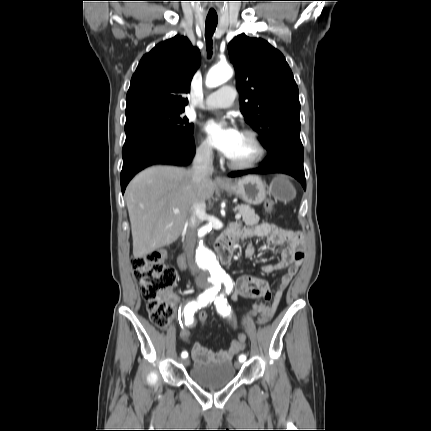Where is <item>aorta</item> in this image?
Instances as JSON below:
<instances>
[{"instance_id":"aorta-1","label":"aorta","mask_w":431,"mask_h":431,"mask_svg":"<svg viewBox=\"0 0 431 431\" xmlns=\"http://www.w3.org/2000/svg\"><path fill=\"white\" fill-rule=\"evenodd\" d=\"M233 75L232 68L227 65H216L212 67L206 77V85L210 88L217 87L227 82ZM212 232L210 225L201 226L197 238L199 242H204ZM196 262L198 266L207 272L208 286H218L223 282L227 275L219 264L215 253L205 244H200L196 250Z\"/></svg>"}]
</instances>
